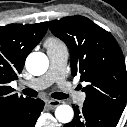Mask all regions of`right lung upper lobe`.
<instances>
[{"instance_id": "right-lung-upper-lobe-1", "label": "right lung upper lobe", "mask_w": 127, "mask_h": 127, "mask_svg": "<svg viewBox=\"0 0 127 127\" xmlns=\"http://www.w3.org/2000/svg\"><path fill=\"white\" fill-rule=\"evenodd\" d=\"M48 29L47 22L0 27V127L22 112L31 98L13 93L9 83L21 73L25 59Z\"/></svg>"}]
</instances>
